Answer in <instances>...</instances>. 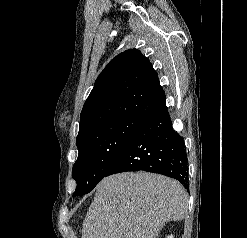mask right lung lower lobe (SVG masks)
Returning a JSON list of instances; mask_svg holds the SVG:
<instances>
[{
	"instance_id": "1",
	"label": "right lung lower lobe",
	"mask_w": 247,
	"mask_h": 238,
	"mask_svg": "<svg viewBox=\"0 0 247 238\" xmlns=\"http://www.w3.org/2000/svg\"><path fill=\"white\" fill-rule=\"evenodd\" d=\"M188 162L182 138L167 110L149 116L110 166L106 176L127 171L159 173L188 188Z\"/></svg>"
}]
</instances>
